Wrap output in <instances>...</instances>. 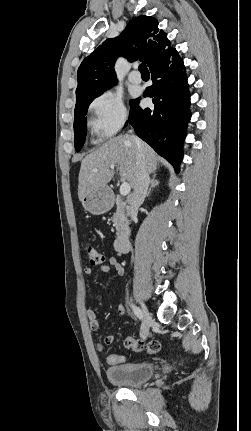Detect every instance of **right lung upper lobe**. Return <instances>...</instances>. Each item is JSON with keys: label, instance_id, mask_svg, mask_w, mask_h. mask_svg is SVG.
<instances>
[{"label": "right lung upper lobe", "instance_id": "obj_1", "mask_svg": "<svg viewBox=\"0 0 251 431\" xmlns=\"http://www.w3.org/2000/svg\"><path fill=\"white\" fill-rule=\"evenodd\" d=\"M174 49L167 35L159 32L158 22L150 16H139L129 22L120 36L105 40L78 68L76 97L93 93L117 82L114 64L118 55L128 61L140 59L149 69L167 61Z\"/></svg>", "mask_w": 251, "mask_h": 431}]
</instances>
